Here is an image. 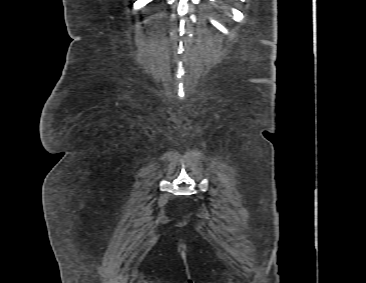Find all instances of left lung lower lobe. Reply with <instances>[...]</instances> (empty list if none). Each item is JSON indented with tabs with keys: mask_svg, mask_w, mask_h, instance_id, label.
<instances>
[{
	"mask_svg": "<svg viewBox=\"0 0 366 283\" xmlns=\"http://www.w3.org/2000/svg\"><path fill=\"white\" fill-rule=\"evenodd\" d=\"M220 1H222V2H224V3H228L229 1H231V0H220Z\"/></svg>",
	"mask_w": 366,
	"mask_h": 283,
	"instance_id": "left-lung-lower-lobe-1",
	"label": "left lung lower lobe"
}]
</instances>
